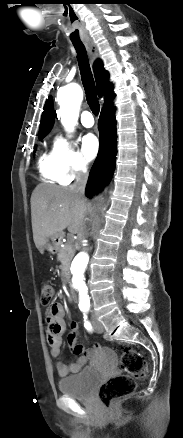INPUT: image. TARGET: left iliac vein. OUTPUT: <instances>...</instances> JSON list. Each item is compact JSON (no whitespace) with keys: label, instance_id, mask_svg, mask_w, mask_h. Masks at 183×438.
I'll use <instances>...</instances> for the list:
<instances>
[{"label":"left iliac vein","instance_id":"obj_1","mask_svg":"<svg viewBox=\"0 0 183 438\" xmlns=\"http://www.w3.org/2000/svg\"><path fill=\"white\" fill-rule=\"evenodd\" d=\"M93 326L98 333H102L104 331L103 325L97 320L95 316L92 317Z\"/></svg>","mask_w":183,"mask_h":438}]
</instances>
